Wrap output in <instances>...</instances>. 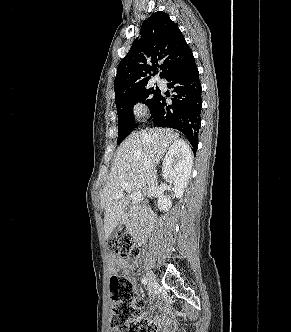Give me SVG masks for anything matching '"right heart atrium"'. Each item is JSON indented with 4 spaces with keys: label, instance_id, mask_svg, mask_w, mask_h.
I'll return each mask as SVG.
<instances>
[{
    "label": "right heart atrium",
    "instance_id": "obj_1",
    "mask_svg": "<svg viewBox=\"0 0 291 332\" xmlns=\"http://www.w3.org/2000/svg\"><path fill=\"white\" fill-rule=\"evenodd\" d=\"M134 112L137 115H142L144 113V109L141 105H136L134 108Z\"/></svg>",
    "mask_w": 291,
    "mask_h": 332
}]
</instances>
